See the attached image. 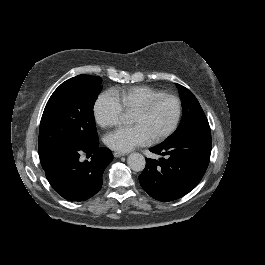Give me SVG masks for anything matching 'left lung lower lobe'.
Wrapping results in <instances>:
<instances>
[{
  "instance_id": "left-lung-lower-lobe-1",
  "label": "left lung lower lobe",
  "mask_w": 265,
  "mask_h": 265,
  "mask_svg": "<svg viewBox=\"0 0 265 265\" xmlns=\"http://www.w3.org/2000/svg\"><path fill=\"white\" fill-rule=\"evenodd\" d=\"M211 132H198L163 142L150 149L165 156L146 159L139 176L142 188L159 201H172L189 193L202 179L210 159Z\"/></svg>"
}]
</instances>
